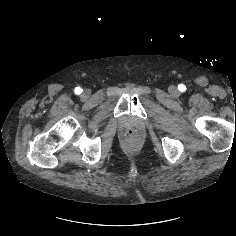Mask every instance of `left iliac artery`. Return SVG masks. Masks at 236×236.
Segmentation results:
<instances>
[{
  "label": "left iliac artery",
  "mask_w": 236,
  "mask_h": 236,
  "mask_svg": "<svg viewBox=\"0 0 236 236\" xmlns=\"http://www.w3.org/2000/svg\"><path fill=\"white\" fill-rule=\"evenodd\" d=\"M178 89H179V91L184 92L186 90V86L183 84H179Z\"/></svg>",
  "instance_id": "left-iliac-artery-1"
}]
</instances>
